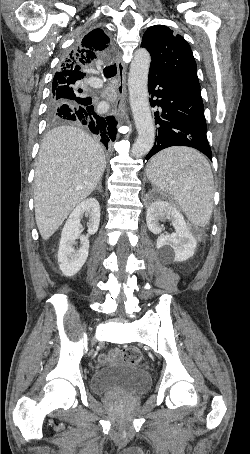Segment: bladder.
Returning <instances> with one entry per match:
<instances>
[{
	"instance_id": "obj_1",
	"label": "bladder",
	"mask_w": 250,
	"mask_h": 454,
	"mask_svg": "<svg viewBox=\"0 0 250 454\" xmlns=\"http://www.w3.org/2000/svg\"><path fill=\"white\" fill-rule=\"evenodd\" d=\"M151 378L147 370L132 364L117 363L94 371L90 387L96 395H142L149 391Z\"/></svg>"
}]
</instances>
